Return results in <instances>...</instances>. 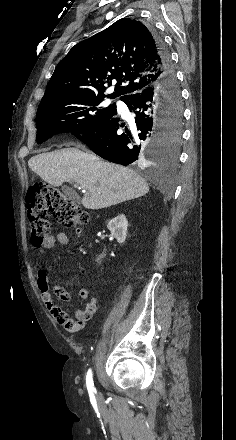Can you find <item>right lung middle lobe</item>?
I'll return each mask as SVG.
<instances>
[{
  "label": "right lung middle lobe",
  "mask_w": 236,
  "mask_h": 440,
  "mask_svg": "<svg viewBox=\"0 0 236 440\" xmlns=\"http://www.w3.org/2000/svg\"><path fill=\"white\" fill-rule=\"evenodd\" d=\"M179 92L178 89L177 97ZM102 102V97L94 95H71L42 101L36 115L37 143L56 133L76 135L108 120L115 113L116 105L103 107ZM180 137L181 123L170 124L163 131L161 153L170 161L177 158Z\"/></svg>",
  "instance_id": "obj_1"
}]
</instances>
